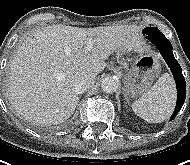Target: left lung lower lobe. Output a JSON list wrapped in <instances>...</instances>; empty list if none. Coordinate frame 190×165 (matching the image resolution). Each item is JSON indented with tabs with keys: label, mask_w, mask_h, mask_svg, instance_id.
Instances as JSON below:
<instances>
[{
	"label": "left lung lower lobe",
	"mask_w": 190,
	"mask_h": 165,
	"mask_svg": "<svg viewBox=\"0 0 190 165\" xmlns=\"http://www.w3.org/2000/svg\"><path fill=\"white\" fill-rule=\"evenodd\" d=\"M159 50L163 58L165 59L166 63L171 69V72L174 76L176 86H177V104L172 114L170 121L173 120L176 114L182 108L185 98H186V83L185 79L182 75V69L178 64L177 60L174 58L172 45L168 41V39L163 35H155L149 39Z\"/></svg>",
	"instance_id": "left-lung-lower-lobe-1"
}]
</instances>
